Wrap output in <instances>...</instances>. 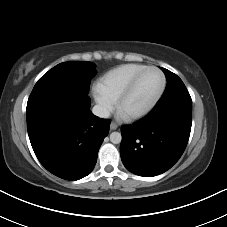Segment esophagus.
Returning a JSON list of instances; mask_svg holds the SVG:
<instances>
[{
  "label": "esophagus",
  "mask_w": 227,
  "mask_h": 227,
  "mask_svg": "<svg viewBox=\"0 0 227 227\" xmlns=\"http://www.w3.org/2000/svg\"><path fill=\"white\" fill-rule=\"evenodd\" d=\"M117 128H118V124H117V123L112 122V123L110 124V130H116Z\"/></svg>",
  "instance_id": "obj_1"
}]
</instances>
